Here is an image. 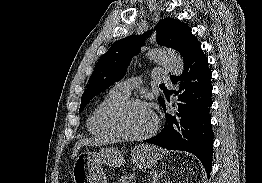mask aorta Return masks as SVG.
<instances>
[{"label": "aorta", "instance_id": "762f6f07", "mask_svg": "<svg viewBox=\"0 0 262 183\" xmlns=\"http://www.w3.org/2000/svg\"><path fill=\"white\" fill-rule=\"evenodd\" d=\"M146 55L150 60L163 65L172 75L179 76L183 73V59L173 50L152 48Z\"/></svg>", "mask_w": 262, "mask_h": 183}]
</instances>
